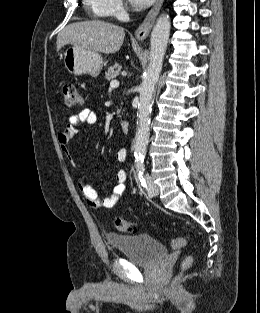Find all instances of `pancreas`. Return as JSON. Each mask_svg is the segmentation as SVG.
<instances>
[{
    "label": "pancreas",
    "instance_id": "obj_1",
    "mask_svg": "<svg viewBox=\"0 0 260 313\" xmlns=\"http://www.w3.org/2000/svg\"><path fill=\"white\" fill-rule=\"evenodd\" d=\"M121 66L118 64H114L112 67H110L107 72L105 73V79L107 80H113L119 75V72L121 71ZM117 113H120V110L117 111Z\"/></svg>",
    "mask_w": 260,
    "mask_h": 313
}]
</instances>
